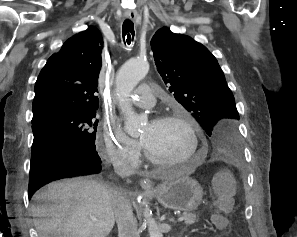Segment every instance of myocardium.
Here are the masks:
<instances>
[{
	"label": "myocardium",
	"mask_w": 297,
	"mask_h": 237,
	"mask_svg": "<svg viewBox=\"0 0 297 237\" xmlns=\"http://www.w3.org/2000/svg\"><path fill=\"white\" fill-rule=\"evenodd\" d=\"M156 122H164V123H179L183 125L191 139V152L184 158L178 159V160H162L155 155H153L146 146H143L144 148V153L147 158V160L157 166H173V165H180L184 164L186 162L191 161L194 159L198 152H199V147H200V139L198 135V131L196 129V126L192 122L190 118H188L184 114H167V115H162L156 119Z\"/></svg>",
	"instance_id": "1"
}]
</instances>
